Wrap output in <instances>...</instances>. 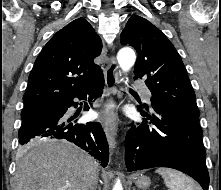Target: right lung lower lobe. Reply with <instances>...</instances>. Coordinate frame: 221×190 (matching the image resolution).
I'll list each match as a JSON object with an SVG mask.
<instances>
[{"mask_svg":"<svg viewBox=\"0 0 221 190\" xmlns=\"http://www.w3.org/2000/svg\"><path fill=\"white\" fill-rule=\"evenodd\" d=\"M104 77H100L85 90L70 95L51 105L39 114L22 121L18 132L19 143H28L36 136L66 139L81 147L89 154L101 161V166L106 167L109 161V147L102 126L98 122L77 124L76 115L69 116L67 111L71 106L76 107L74 98L89 102L102 94ZM86 111L89 109L85 103Z\"/></svg>","mask_w":221,"mask_h":190,"instance_id":"98d812e1","label":"right lung lower lobe"}]
</instances>
